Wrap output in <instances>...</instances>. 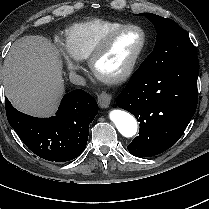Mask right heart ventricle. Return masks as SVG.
I'll use <instances>...</instances> for the list:
<instances>
[{
	"label": "right heart ventricle",
	"mask_w": 209,
	"mask_h": 209,
	"mask_svg": "<svg viewBox=\"0 0 209 209\" xmlns=\"http://www.w3.org/2000/svg\"><path fill=\"white\" fill-rule=\"evenodd\" d=\"M120 24L126 23L100 18L74 23L63 31L64 46L74 59L85 60L90 57L102 37Z\"/></svg>",
	"instance_id": "right-heart-ventricle-1"
}]
</instances>
